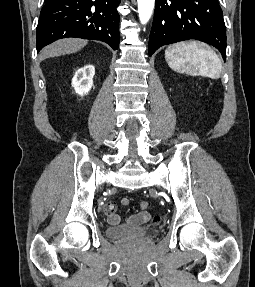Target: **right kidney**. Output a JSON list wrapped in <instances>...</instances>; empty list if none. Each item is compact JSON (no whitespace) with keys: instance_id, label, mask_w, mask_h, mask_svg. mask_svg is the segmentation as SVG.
<instances>
[{"instance_id":"1","label":"right kidney","mask_w":255,"mask_h":287,"mask_svg":"<svg viewBox=\"0 0 255 287\" xmlns=\"http://www.w3.org/2000/svg\"><path fill=\"white\" fill-rule=\"evenodd\" d=\"M95 74L94 66H84V68H79L77 72H75L74 78H72V86L76 92V94H86L89 92L93 86V78Z\"/></svg>"}]
</instances>
